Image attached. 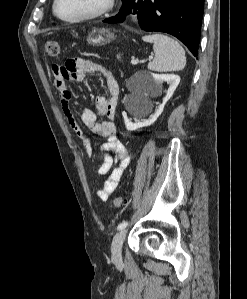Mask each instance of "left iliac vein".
Segmentation results:
<instances>
[{"mask_svg": "<svg viewBox=\"0 0 247 299\" xmlns=\"http://www.w3.org/2000/svg\"><path fill=\"white\" fill-rule=\"evenodd\" d=\"M126 236V230L121 229L113 238L111 252L112 260L114 263L118 264L122 261V245Z\"/></svg>", "mask_w": 247, "mask_h": 299, "instance_id": "4c4485c4", "label": "left iliac vein"}]
</instances>
